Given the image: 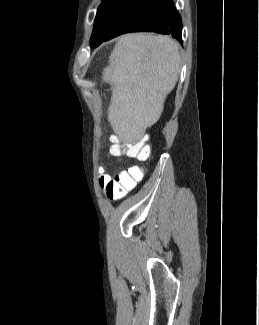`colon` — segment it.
Listing matches in <instances>:
<instances>
[{
    "label": "colon",
    "mask_w": 259,
    "mask_h": 325,
    "mask_svg": "<svg viewBox=\"0 0 259 325\" xmlns=\"http://www.w3.org/2000/svg\"><path fill=\"white\" fill-rule=\"evenodd\" d=\"M111 150L115 155H127L129 157L145 160L150 155V148L144 141L121 143L118 140L112 142ZM142 168H129L114 173L102 185L107 197L111 200L122 198L128 191L142 179Z\"/></svg>",
    "instance_id": "1"
}]
</instances>
